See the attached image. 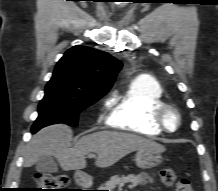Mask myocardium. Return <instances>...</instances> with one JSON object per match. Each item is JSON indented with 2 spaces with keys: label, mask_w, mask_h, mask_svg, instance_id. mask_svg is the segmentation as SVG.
I'll return each mask as SVG.
<instances>
[{
  "label": "myocardium",
  "mask_w": 218,
  "mask_h": 191,
  "mask_svg": "<svg viewBox=\"0 0 218 191\" xmlns=\"http://www.w3.org/2000/svg\"><path fill=\"white\" fill-rule=\"evenodd\" d=\"M168 111H173L175 114H176V117H177V125L174 129H170L167 125H166V122H165V116H166V113ZM154 122L157 124V126L164 132H167V133H174L176 131L179 130L181 124H182V115H181V112L180 110L172 105V104H169V103H163L162 105H160L155 113H154Z\"/></svg>",
  "instance_id": "myocardium-1"
}]
</instances>
